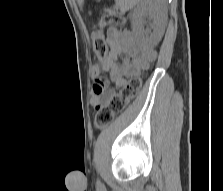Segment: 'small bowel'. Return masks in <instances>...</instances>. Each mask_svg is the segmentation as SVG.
<instances>
[{
  "label": "small bowel",
  "instance_id": "obj_1",
  "mask_svg": "<svg viewBox=\"0 0 223 191\" xmlns=\"http://www.w3.org/2000/svg\"><path fill=\"white\" fill-rule=\"evenodd\" d=\"M107 44L106 60L98 62L105 63L103 73H106L109 79L102 76L94 78L91 104L95 107L103 105L115 94V91L109 88V80L117 88H123L127 80L135 76L140 69L148 68L156 55L153 49L140 47L130 32L115 27L107 32ZM122 55L124 58L119 62L118 58Z\"/></svg>",
  "mask_w": 223,
  "mask_h": 191
}]
</instances>
